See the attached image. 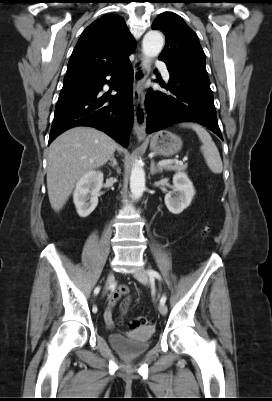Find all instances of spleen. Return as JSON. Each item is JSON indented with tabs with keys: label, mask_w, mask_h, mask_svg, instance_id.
<instances>
[{
	"label": "spleen",
	"mask_w": 272,
	"mask_h": 401,
	"mask_svg": "<svg viewBox=\"0 0 272 401\" xmlns=\"http://www.w3.org/2000/svg\"><path fill=\"white\" fill-rule=\"evenodd\" d=\"M181 126L192 128L197 133L200 141L202 142L201 151L209 169L215 174H220L223 170L222 160L219 151L215 143L212 141L209 133L203 127L197 124L183 123Z\"/></svg>",
	"instance_id": "3e777b00"
}]
</instances>
